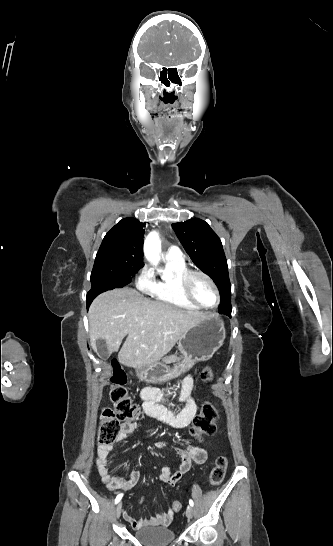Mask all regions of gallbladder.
<instances>
[{"mask_svg": "<svg viewBox=\"0 0 333 546\" xmlns=\"http://www.w3.org/2000/svg\"><path fill=\"white\" fill-rule=\"evenodd\" d=\"M96 346L98 353L102 356L104 360H107L111 354L108 351L106 342L102 339H99Z\"/></svg>", "mask_w": 333, "mask_h": 546, "instance_id": "obj_1", "label": "gallbladder"}]
</instances>
